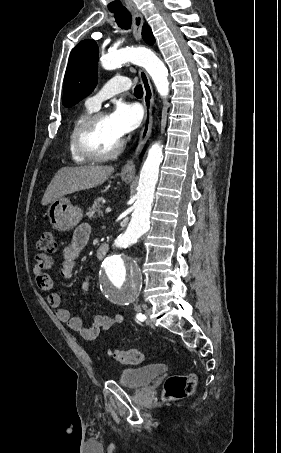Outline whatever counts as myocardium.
<instances>
[{
	"label": "myocardium",
	"mask_w": 281,
	"mask_h": 453,
	"mask_svg": "<svg viewBox=\"0 0 281 453\" xmlns=\"http://www.w3.org/2000/svg\"><path fill=\"white\" fill-rule=\"evenodd\" d=\"M107 117H108V115L104 112L96 113V114L92 115L91 117H89L81 125V127L78 131L77 139H76L77 148H78L79 153L87 160L105 161V160L113 159L121 153V151L124 147L125 142L123 139H121L117 143L115 148L113 150H111L110 152H106V153L97 152L92 147L91 138H92L93 131L96 128V126L101 121L106 119Z\"/></svg>",
	"instance_id": "1"
}]
</instances>
